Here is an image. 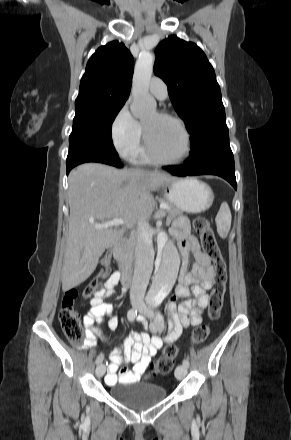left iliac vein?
I'll return each instance as SVG.
<instances>
[{
    "mask_svg": "<svg viewBox=\"0 0 291 440\" xmlns=\"http://www.w3.org/2000/svg\"><path fill=\"white\" fill-rule=\"evenodd\" d=\"M138 311L144 315L145 317L149 318V319H153L154 318V312L148 308L147 306H140L138 308ZM187 374V367L184 365H179L176 370H175V377L178 380L183 379Z\"/></svg>",
    "mask_w": 291,
    "mask_h": 440,
    "instance_id": "obj_1",
    "label": "left iliac vein"
}]
</instances>
